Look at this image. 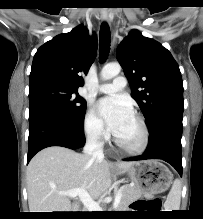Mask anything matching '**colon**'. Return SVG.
<instances>
[{
	"label": "colon",
	"instance_id": "5ec220e1",
	"mask_svg": "<svg viewBox=\"0 0 203 219\" xmlns=\"http://www.w3.org/2000/svg\"><path fill=\"white\" fill-rule=\"evenodd\" d=\"M148 207L152 210H158L161 207V200L156 198L148 203Z\"/></svg>",
	"mask_w": 203,
	"mask_h": 219
}]
</instances>
